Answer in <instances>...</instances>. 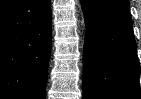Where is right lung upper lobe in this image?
Instances as JSON below:
<instances>
[{"label": "right lung upper lobe", "mask_w": 141, "mask_h": 99, "mask_svg": "<svg viewBox=\"0 0 141 99\" xmlns=\"http://www.w3.org/2000/svg\"><path fill=\"white\" fill-rule=\"evenodd\" d=\"M11 1H13V0H0V6H3L5 4H8Z\"/></svg>", "instance_id": "1"}]
</instances>
